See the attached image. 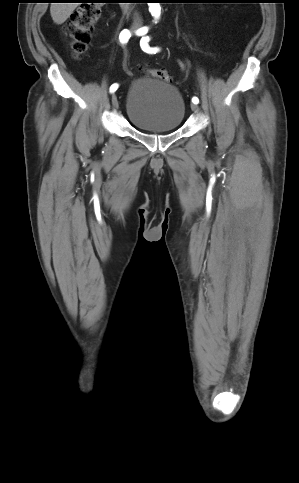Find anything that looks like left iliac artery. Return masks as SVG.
Wrapping results in <instances>:
<instances>
[{
	"instance_id": "1",
	"label": "left iliac artery",
	"mask_w": 299,
	"mask_h": 483,
	"mask_svg": "<svg viewBox=\"0 0 299 483\" xmlns=\"http://www.w3.org/2000/svg\"><path fill=\"white\" fill-rule=\"evenodd\" d=\"M149 40H150V38L148 36L142 37V39L140 41V46H141L143 51L150 53V54H156L159 51V48L149 47V45H148ZM192 102L194 104H198L199 99L197 97H193Z\"/></svg>"
}]
</instances>
